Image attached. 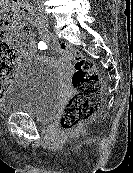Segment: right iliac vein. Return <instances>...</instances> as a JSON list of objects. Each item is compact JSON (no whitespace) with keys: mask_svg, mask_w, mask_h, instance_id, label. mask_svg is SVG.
Returning <instances> with one entry per match:
<instances>
[{"mask_svg":"<svg viewBox=\"0 0 133 173\" xmlns=\"http://www.w3.org/2000/svg\"><path fill=\"white\" fill-rule=\"evenodd\" d=\"M36 15L41 20V22L43 23L44 27L46 29H48V27H49L48 18L45 15H43V13H41L40 11L36 12Z\"/></svg>","mask_w":133,"mask_h":173,"instance_id":"1","label":"right iliac vein"}]
</instances>
